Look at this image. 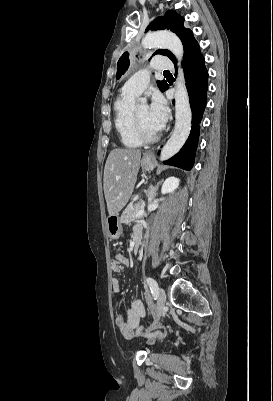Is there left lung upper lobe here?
Here are the masks:
<instances>
[{
  "mask_svg": "<svg viewBox=\"0 0 273 401\" xmlns=\"http://www.w3.org/2000/svg\"><path fill=\"white\" fill-rule=\"evenodd\" d=\"M184 18L176 13V11H167L164 16L156 18L149 26L146 28L147 32L149 29L152 30H162L168 29L176 33V35L181 39L184 51L194 42H196L193 33L190 29L183 26ZM161 54L168 56L172 61L175 59L174 55L168 50H157L153 55ZM129 66V54L125 52L119 59L117 63V74L116 78L119 79L122 74L126 72ZM158 87L163 92L167 86L165 80L157 82Z\"/></svg>",
  "mask_w": 273,
  "mask_h": 401,
  "instance_id": "left-lung-upper-lobe-1",
  "label": "left lung upper lobe"
}]
</instances>
